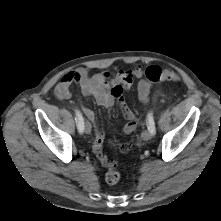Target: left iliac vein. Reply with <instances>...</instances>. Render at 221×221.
<instances>
[{
  "mask_svg": "<svg viewBox=\"0 0 221 221\" xmlns=\"http://www.w3.org/2000/svg\"><path fill=\"white\" fill-rule=\"evenodd\" d=\"M152 137V132L150 130H145L142 132L141 134V138L144 140V141H148L150 140Z\"/></svg>",
  "mask_w": 221,
  "mask_h": 221,
  "instance_id": "1",
  "label": "left iliac vein"
}]
</instances>
